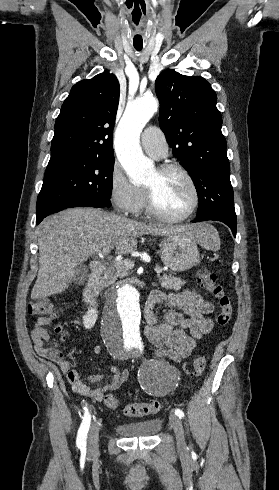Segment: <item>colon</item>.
I'll use <instances>...</instances> for the list:
<instances>
[{"instance_id": "1", "label": "colon", "mask_w": 279, "mask_h": 490, "mask_svg": "<svg viewBox=\"0 0 279 490\" xmlns=\"http://www.w3.org/2000/svg\"><path fill=\"white\" fill-rule=\"evenodd\" d=\"M198 279L202 288L212 295L219 304L217 313V323L225 326L231 322L232 305L228 295L224 292L222 286L217 282L214 274L207 268H202L198 272ZM29 314L36 317H44L46 319L54 318L56 310L53 304L47 300H36L28 307ZM59 337H66V330L58 331ZM206 367V358L198 356L193 361V373L196 376L202 375ZM118 398L113 393H107L104 396V405L108 409H115L118 406ZM163 408V403L160 400H149L143 402H130L123 408V414L129 417L151 416L158 413Z\"/></svg>"}]
</instances>
